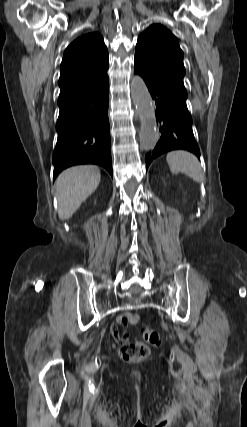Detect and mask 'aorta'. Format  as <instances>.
<instances>
[{
  "label": "aorta",
  "mask_w": 247,
  "mask_h": 427,
  "mask_svg": "<svg viewBox=\"0 0 247 427\" xmlns=\"http://www.w3.org/2000/svg\"><path fill=\"white\" fill-rule=\"evenodd\" d=\"M131 97L141 122L140 145L144 150H152L159 139L154 104L147 86L140 76H135L132 80Z\"/></svg>",
  "instance_id": "obj_1"
}]
</instances>
